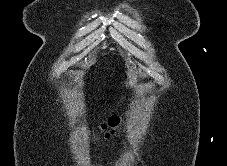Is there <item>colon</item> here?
Wrapping results in <instances>:
<instances>
[{"mask_svg": "<svg viewBox=\"0 0 227 166\" xmlns=\"http://www.w3.org/2000/svg\"><path fill=\"white\" fill-rule=\"evenodd\" d=\"M119 118L117 116L110 117L106 122L101 124L99 130L101 133L110 135L113 134L119 124Z\"/></svg>", "mask_w": 227, "mask_h": 166, "instance_id": "obj_1", "label": "colon"}]
</instances>
